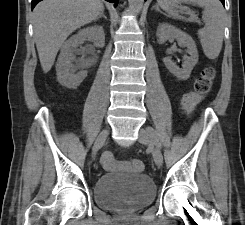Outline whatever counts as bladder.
Wrapping results in <instances>:
<instances>
[{
    "instance_id": "1",
    "label": "bladder",
    "mask_w": 245,
    "mask_h": 225,
    "mask_svg": "<svg viewBox=\"0 0 245 225\" xmlns=\"http://www.w3.org/2000/svg\"><path fill=\"white\" fill-rule=\"evenodd\" d=\"M156 196L154 181L145 173H105L96 179L95 204L108 212H136L152 204Z\"/></svg>"
}]
</instances>
